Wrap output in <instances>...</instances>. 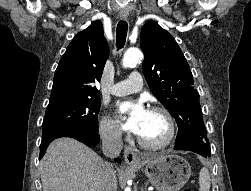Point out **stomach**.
Wrapping results in <instances>:
<instances>
[{
	"instance_id": "obj_1",
	"label": "stomach",
	"mask_w": 251,
	"mask_h": 191,
	"mask_svg": "<svg viewBox=\"0 0 251 191\" xmlns=\"http://www.w3.org/2000/svg\"><path fill=\"white\" fill-rule=\"evenodd\" d=\"M146 157L147 155H143L142 161L140 159L138 165H134L135 171L145 165ZM144 173L148 181L159 191H178L188 181L191 175V165L181 155L166 151V153L152 155L150 161H147Z\"/></svg>"
}]
</instances>
